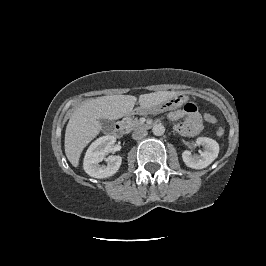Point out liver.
<instances>
[{"mask_svg": "<svg viewBox=\"0 0 266 266\" xmlns=\"http://www.w3.org/2000/svg\"><path fill=\"white\" fill-rule=\"evenodd\" d=\"M174 91H159L139 96L141 108H150L174 96ZM137 101L132 95L102 96L85 101L71 115L65 131V154L69 162L77 167L80 155L88 143L102 129L100 119L117 120L129 115Z\"/></svg>", "mask_w": 266, "mask_h": 266, "instance_id": "obj_1", "label": "liver"}]
</instances>
